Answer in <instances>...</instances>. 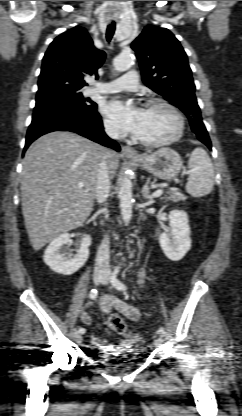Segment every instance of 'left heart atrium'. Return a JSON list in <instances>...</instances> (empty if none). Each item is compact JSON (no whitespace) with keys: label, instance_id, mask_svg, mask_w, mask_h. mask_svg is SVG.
<instances>
[{"label":"left heart atrium","instance_id":"left-heart-atrium-1","mask_svg":"<svg viewBox=\"0 0 242 416\" xmlns=\"http://www.w3.org/2000/svg\"><path fill=\"white\" fill-rule=\"evenodd\" d=\"M102 110L123 131L131 133L137 131L143 114V109L132 107L119 99L105 103Z\"/></svg>","mask_w":242,"mask_h":416}]
</instances>
